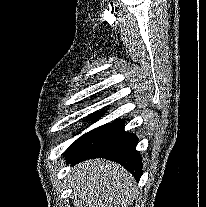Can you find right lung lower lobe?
<instances>
[{
  "label": "right lung lower lobe",
  "instance_id": "obj_1",
  "mask_svg": "<svg viewBox=\"0 0 206 207\" xmlns=\"http://www.w3.org/2000/svg\"><path fill=\"white\" fill-rule=\"evenodd\" d=\"M124 122L116 121L76 150H66L64 156L71 164L91 158H105L124 166L137 181L142 176V161L136 151L138 142L133 133L126 132Z\"/></svg>",
  "mask_w": 206,
  "mask_h": 207
}]
</instances>
